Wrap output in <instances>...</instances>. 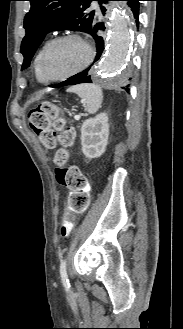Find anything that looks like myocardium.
Wrapping results in <instances>:
<instances>
[{"instance_id": "myocardium-1", "label": "myocardium", "mask_w": 183, "mask_h": 329, "mask_svg": "<svg viewBox=\"0 0 183 329\" xmlns=\"http://www.w3.org/2000/svg\"><path fill=\"white\" fill-rule=\"evenodd\" d=\"M69 39H76V40H79L82 43H84V45L86 46V48L88 50V56L86 58V61L84 62V64L81 67H79L78 69H76L74 71H71V72L61 75V76L52 77L47 73V70H46V60H47L48 54L57 44H59L62 41H65V40H69ZM94 56H95V51H94L93 47L91 46V44L85 38H83L82 36L77 35V34H64V35L59 36V37L53 39L52 41H50L49 44L44 49L43 54L41 56V61H40L41 73L47 82H56V81L66 80V79L73 77V76L81 73L82 71H84L91 64V62L94 59Z\"/></svg>"}]
</instances>
